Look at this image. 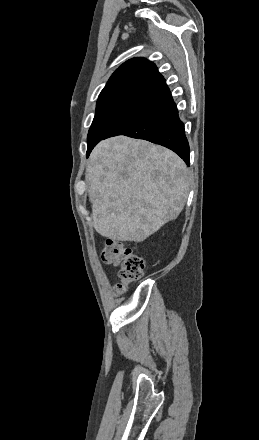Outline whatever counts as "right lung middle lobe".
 Listing matches in <instances>:
<instances>
[{
    "label": "right lung middle lobe",
    "mask_w": 259,
    "mask_h": 440,
    "mask_svg": "<svg viewBox=\"0 0 259 440\" xmlns=\"http://www.w3.org/2000/svg\"><path fill=\"white\" fill-rule=\"evenodd\" d=\"M145 92H122L99 97L87 143L103 137L144 98Z\"/></svg>",
    "instance_id": "1"
}]
</instances>
